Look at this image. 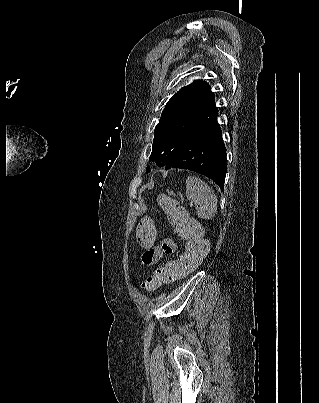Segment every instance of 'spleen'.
I'll use <instances>...</instances> for the list:
<instances>
[{"label":"spleen","instance_id":"spleen-1","mask_svg":"<svg viewBox=\"0 0 319 403\" xmlns=\"http://www.w3.org/2000/svg\"><path fill=\"white\" fill-rule=\"evenodd\" d=\"M186 197L194 203L199 218L212 219L217 212V196L210 186L195 176L186 179Z\"/></svg>","mask_w":319,"mask_h":403}]
</instances>
